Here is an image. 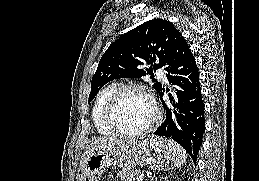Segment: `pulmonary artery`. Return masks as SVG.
<instances>
[{"mask_svg":"<svg viewBox=\"0 0 259 181\" xmlns=\"http://www.w3.org/2000/svg\"><path fill=\"white\" fill-rule=\"evenodd\" d=\"M156 73L161 80L166 81L165 74L162 71H157Z\"/></svg>","mask_w":259,"mask_h":181,"instance_id":"pulmonary-artery-1","label":"pulmonary artery"}]
</instances>
